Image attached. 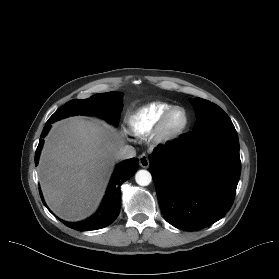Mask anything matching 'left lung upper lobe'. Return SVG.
<instances>
[{"label": "left lung upper lobe", "mask_w": 279, "mask_h": 279, "mask_svg": "<svg viewBox=\"0 0 279 279\" xmlns=\"http://www.w3.org/2000/svg\"><path fill=\"white\" fill-rule=\"evenodd\" d=\"M197 115L193 130L212 126H233L228 115L216 104L196 97L191 101Z\"/></svg>", "instance_id": "obj_1"}]
</instances>
